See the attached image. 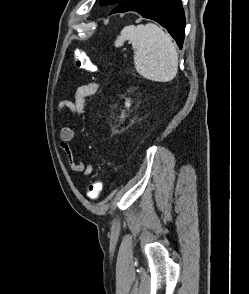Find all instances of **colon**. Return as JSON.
<instances>
[{"label": "colon", "instance_id": "colon-1", "mask_svg": "<svg viewBox=\"0 0 249 294\" xmlns=\"http://www.w3.org/2000/svg\"><path fill=\"white\" fill-rule=\"evenodd\" d=\"M73 59L75 65L82 70L87 72H96L97 66L92 62L90 57L81 50H75L73 53ZM103 189V183L100 180L93 181L86 190V196L89 199H96L99 197Z\"/></svg>", "mask_w": 249, "mask_h": 294}]
</instances>
